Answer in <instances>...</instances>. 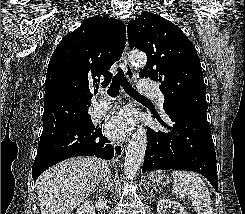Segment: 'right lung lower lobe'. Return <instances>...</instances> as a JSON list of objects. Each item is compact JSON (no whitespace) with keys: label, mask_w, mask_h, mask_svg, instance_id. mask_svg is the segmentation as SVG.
I'll list each match as a JSON object with an SVG mask.
<instances>
[{"label":"right lung lower lobe","mask_w":245,"mask_h":214,"mask_svg":"<svg viewBox=\"0 0 245 214\" xmlns=\"http://www.w3.org/2000/svg\"><path fill=\"white\" fill-rule=\"evenodd\" d=\"M76 156L112 159L114 149L100 128L87 121L69 119L44 127L32 168L34 181L49 167Z\"/></svg>","instance_id":"right-lung-lower-lobe-1"}]
</instances>
